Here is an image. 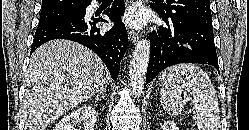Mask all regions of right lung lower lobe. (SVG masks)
Segmentation results:
<instances>
[{
	"label": "right lung lower lobe",
	"mask_w": 249,
	"mask_h": 130,
	"mask_svg": "<svg viewBox=\"0 0 249 130\" xmlns=\"http://www.w3.org/2000/svg\"><path fill=\"white\" fill-rule=\"evenodd\" d=\"M124 11L125 5L122 0H115L112 6L104 11V14L114 22V27L107 32L96 27V23L107 22V20L94 16L89 18L86 13L84 16L76 18L39 24L35 32L31 54L50 40H72L94 51L106 64L113 80H116L120 70L119 64L128 43L127 31L121 20Z\"/></svg>",
	"instance_id": "obj_1"
}]
</instances>
